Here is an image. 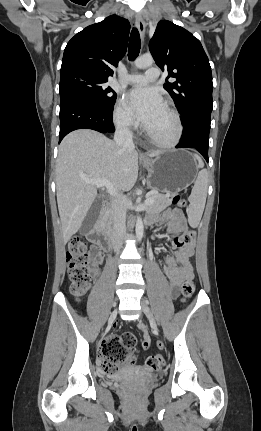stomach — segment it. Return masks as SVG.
<instances>
[{
	"label": "stomach",
	"instance_id": "stomach-1",
	"mask_svg": "<svg viewBox=\"0 0 261 431\" xmlns=\"http://www.w3.org/2000/svg\"><path fill=\"white\" fill-rule=\"evenodd\" d=\"M148 171L147 185L152 190L178 192L198 176L196 160L186 151H162L153 159H143Z\"/></svg>",
	"mask_w": 261,
	"mask_h": 431
}]
</instances>
